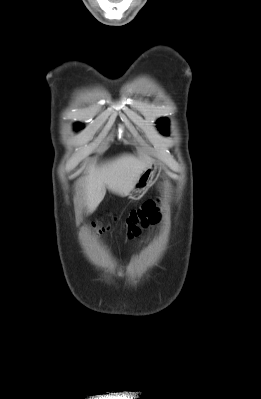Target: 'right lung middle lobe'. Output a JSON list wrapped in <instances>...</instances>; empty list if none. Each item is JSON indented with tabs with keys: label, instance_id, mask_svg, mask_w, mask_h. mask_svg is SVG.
<instances>
[{
	"label": "right lung middle lobe",
	"instance_id": "dd1d6c3e",
	"mask_svg": "<svg viewBox=\"0 0 261 399\" xmlns=\"http://www.w3.org/2000/svg\"><path fill=\"white\" fill-rule=\"evenodd\" d=\"M77 128H81V125L79 124V125H77Z\"/></svg>",
	"mask_w": 261,
	"mask_h": 399
}]
</instances>
